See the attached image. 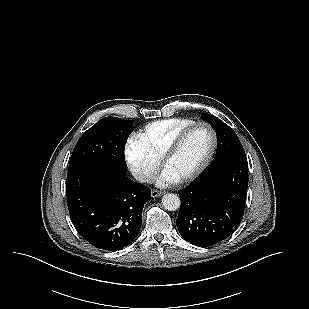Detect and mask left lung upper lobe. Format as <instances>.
Segmentation results:
<instances>
[{
	"mask_svg": "<svg viewBox=\"0 0 309 309\" xmlns=\"http://www.w3.org/2000/svg\"><path fill=\"white\" fill-rule=\"evenodd\" d=\"M202 118L215 129L217 134V151L213 161L228 154L244 151L238 136L230 126L210 114H203Z\"/></svg>",
	"mask_w": 309,
	"mask_h": 309,
	"instance_id": "1",
	"label": "left lung upper lobe"
}]
</instances>
